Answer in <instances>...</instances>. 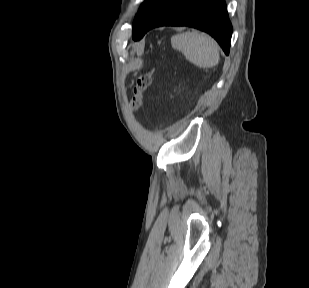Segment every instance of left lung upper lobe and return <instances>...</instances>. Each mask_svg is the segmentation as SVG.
Returning <instances> with one entry per match:
<instances>
[{
    "label": "left lung upper lobe",
    "instance_id": "5c2ea615",
    "mask_svg": "<svg viewBox=\"0 0 309 288\" xmlns=\"http://www.w3.org/2000/svg\"><path fill=\"white\" fill-rule=\"evenodd\" d=\"M160 0H146L139 12L137 13L134 22H133V26H132V32L133 35H135L139 29L141 28L144 20L146 19V17L149 15V13L152 11V9L154 8V6L159 2Z\"/></svg>",
    "mask_w": 309,
    "mask_h": 288
}]
</instances>
